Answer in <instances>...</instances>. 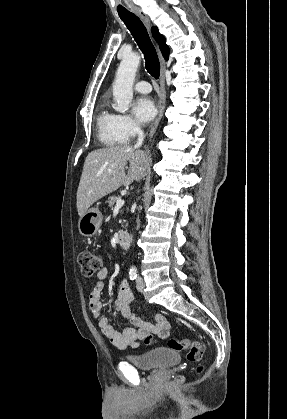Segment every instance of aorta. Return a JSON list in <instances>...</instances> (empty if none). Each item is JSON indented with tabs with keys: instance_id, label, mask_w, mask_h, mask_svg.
<instances>
[{
	"instance_id": "762f6f07",
	"label": "aorta",
	"mask_w": 287,
	"mask_h": 419,
	"mask_svg": "<svg viewBox=\"0 0 287 419\" xmlns=\"http://www.w3.org/2000/svg\"><path fill=\"white\" fill-rule=\"evenodd\" d=\"M138 53L125 54L120 62L113 82V96L116 100V111L125 113L133 98V83L140 64ZM132 270H136L132 267Z\"/></svg>"
}]
</instances>
